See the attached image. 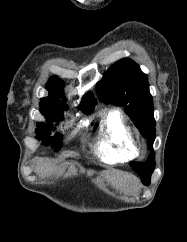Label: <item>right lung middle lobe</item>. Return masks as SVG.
I'll return each mask as SVG.
<instances>
[{"label": "right lung middle lobe", "instance_id": "1", "mask_svg": "<svg viewBox=\"0 0 187 242\" xmlns=\"http://www.w3.org/2000/svg\"><path fill=\"white\" fill-rule=\"evenodd\" d=\"M48 123H38L37 124V129L35 131L36 133V138L37 139H41L42 140V144H44L45 146H48L49 144H52V148L55 149V151L59 150L61 148L62 142V135H55L54 137L49 136L50 132L53 129V125L51 124L52 121H61L63 119V115L58 116V117H46Z\"/></svg>", "mask_w": 187, "mask_h": 242}]
</instances>
